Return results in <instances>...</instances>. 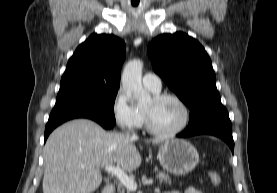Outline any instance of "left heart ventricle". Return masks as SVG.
<instances>
[{
    "mask_svg": "<svg viewBox=\"0 0 277 193\" xmlns=\"http://www.w3.org/2000/svg\"><path fill=\"white\" fill-rule=\"evenodd\" d=\"M143 109L150 113L154 125L162 131L176 129L184 119L183 109L172 99H165L158 103L150 99Z\"/></svg>",
    "mask_w": 277,
    "mask_h": 193,
    "instance_id": "obj_1",
    "label": "left heart ventricle"
}]
</instances>
